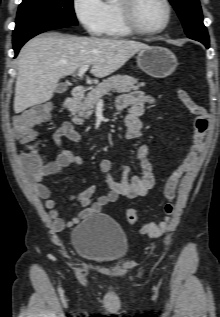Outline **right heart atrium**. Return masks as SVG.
<instances>
[{
  "label": "right heart atrium",
  "mask_w": 220,
  "mask_h": 317,
  "mask_svg": "<svg viewBox=\"0 0 220 317\" xmlns=\"http://www.w3.org/2000/svg\"><path fill=\"white\" fill-rule=\"evenodd\" d=\"M72 8L76 18L89 34L99 35L102 32V0H72Z\"/></svg>",
  "instance_id": "1"
}]
</instances>
